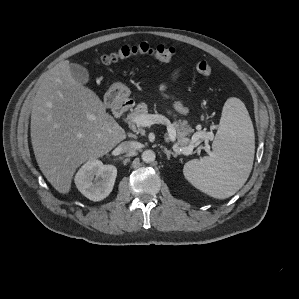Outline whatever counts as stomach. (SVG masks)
Segmentation results:
<instances>
[{
	"label": "stomach",
	"mask_w": 299,
	"mask_h": 299,
	"mask_svg": "<svg viewBox=\"0 0 299 299\" xmlns=\"http://www.w3.org/2000/svg\"><path fill=\"white\" fill-rule=\"evenodd\" d=\"M108 93L113 96L116 102H124L130 96V90L121 83H114Z\"/></svg>",
	"instance_id": "obj_1"
}]
</instances>
